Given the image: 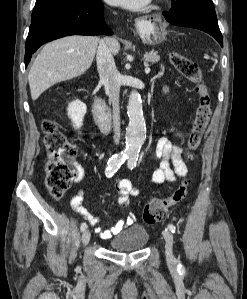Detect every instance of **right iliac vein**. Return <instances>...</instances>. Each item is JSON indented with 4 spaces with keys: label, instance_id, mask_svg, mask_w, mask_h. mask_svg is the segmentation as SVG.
I'll use <instances>...</instances> for the list:
<instances>
[{
    "label": "right iliac vein",
    "instance_id": "63e3f726",
    "mask_svg": "<svg viewBox=\"0 0 247 299\" xmlns=\"http://www.w3.org/2000/svg\"><path fill=\"white\" fill-rule=\"evenodd\" d=\"M90 237H91V233H90V231L87 229V230H85L84 232H83V234H82V243L84 244V245H87L88 243H89V241H90Z\"/></svg>",
    "mask_w": 247,
    "mask_h": 299
}]
</instances>
